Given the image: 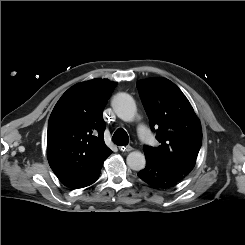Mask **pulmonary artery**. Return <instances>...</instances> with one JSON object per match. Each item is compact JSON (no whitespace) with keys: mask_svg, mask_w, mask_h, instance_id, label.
I'll return each mask as SVG.
<instances>
[{"mask_svg":"<svg viewBox=\"0 0 245 245\" xmlns=\"http://www.w3.org/2000/svg\"><path fill=\"white\" fill-rule=\"evenodd\" d=\"M137 132L141 140L147 145H151L153 143L154 138L145 124L139 123L137 126Z\"/></svg>","mask_w":245,"mask_h":245,"instance_id":"e3ab8cb5","label":"pulmonary artery"}]
</instances>
